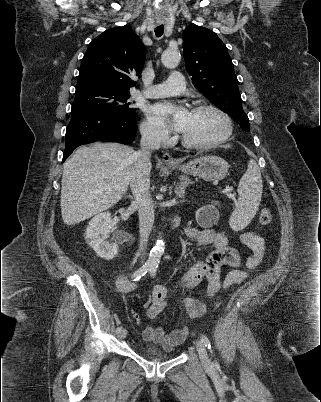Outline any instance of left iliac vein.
<instances>
[{
    "label": "left iliac vein",
    "instance_id": "left-iliac-vein-1",
    "mask_svg": "<svg viewBox=\"0 0 321 402\" xmlns=\"http://www.w3.org/2000/svg\"><path fill=\"white\" fill-rule=\"evenodd\" d=\"M195 347L197 349V352L199 354V357H200L201 362L204 365V367H206V368L212 367V362L208 357V354H207V351H206V349L204 347L203 342L200 341V340H197L195 342Z\"/></svg>",
    "mask_w": 321,
    "mask_h": 402
}]
</instances>
